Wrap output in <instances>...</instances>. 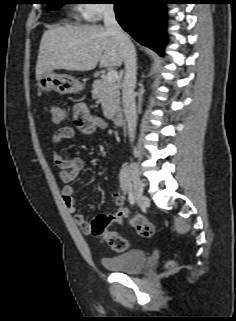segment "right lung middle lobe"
Masks as SVG:
<instances>
[{
    "mask_svg": "<svg viewBox=\"0 0 236 321\" xmlns=\"http://www.w3.org/2000/svg\"><path fill=\"white\" fill-rule=\"evenodd\" d=\"M49 1H50L48 2L49 7H51L52 9H58L64 4L63 0H49Z\"/></svg>",
    "mask_w": 236,
    "mask_h": 321,
    "instance_id": "1",
    "label": "right lung middle lobe"
}]
</instances>
